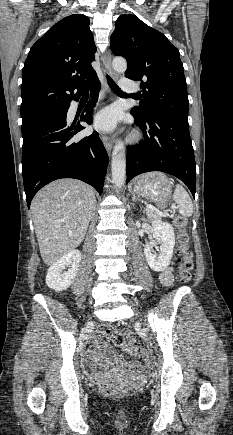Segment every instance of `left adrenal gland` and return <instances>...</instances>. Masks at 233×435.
Returning <instances> with one entry per match:
<instances>
[{"instance_id":"1","label":"left adrenal gland","mask_w":233,"mask_h":435,"mask_svg":"<svg viewBox=\"0 0 233 435\" xmlns=\"http://www.w3.org/2000/svg\"><path fill=\"white\" fill-rule=\"evenodd\" d=\"M132 201H135V200H139V198H137L136 196H135V193L134 192H132Z\"/></svg>"}]
</instances>
